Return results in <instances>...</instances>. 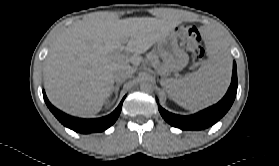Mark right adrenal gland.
Masks as SVG:
<instances>
[{"mask_svg": "<svg viewBox=\"0 0 279 166\" xmlns=\"http://www.w3.org/2000/svg\"><path fill=\"white\" fill-rule=\"evenodd\" d=\"M121 84H122V82L121 83H117V85L113 88V91L115 92L116 96L118 94V91H119V88H120Z\"/></svg>", "mask_w": 279, "mask_h": 166, "instance_id": "2a0ac1e0", "label": "right adrenal gland"}]
</instances>
